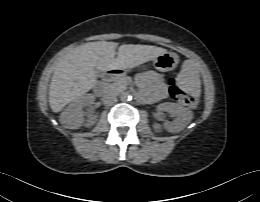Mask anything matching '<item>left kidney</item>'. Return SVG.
<instances>
[{
  "mask_svg": "<svg viewBox=\"0 0 260 202\" xmlns=\"http://www.w3.org/2000/svg\"><path fill=\"white\" fill-rule=\"evenodd\" d=\"M158 112H168L175 119L171 122H166L164 127L173 133L180 132L184 129L192 120L193 113L186 107H183L177 103L165 102L157 106ZM153 128L156 132H160L162 127L160 124H154Z\"/></svg>",
  "mask_w": 260,
  "mask_h": 202,
  "instance_id": "1",
  "label": "left kidney"
}]
</instances>
